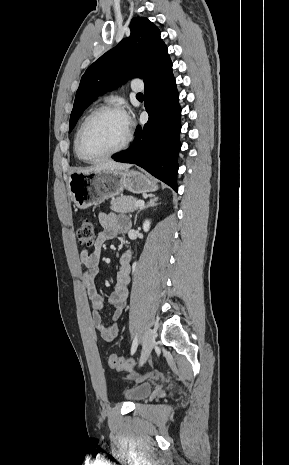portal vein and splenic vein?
I'll list each match as a JSON object with an SVG mask.
<instances>
[{
	"mask_svg": "<svg viewBox=\"0 0 289 465\" xmlns=\"http://www.w3.org/2000/svg\"><path fill=\"white\" fill-rule=\"evenodd\" d=\"M136 205H137V206H142V205H144V201H143V200H138V201L136 202Z\"/></svg>",
	"mask_w": 289,
	"mask_h": 465,
	"instance_id": "18ae733b",
	"label": "portal vein and splenic vein"
}]
</instances>
